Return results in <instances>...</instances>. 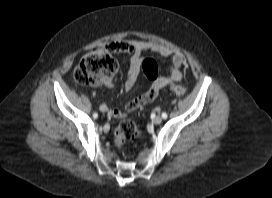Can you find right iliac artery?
Masks as SVG:
<instances>
[{
    "label": "right iliac artery",
    "mask_w": 272,
    "mask_h": 198,
    "mask_svg": "<svg viewBox=\"0 0 272 198\" xmlns=\"http://www.w3.org/2000/svg\"><path fill=\"white\" fill-rule=\"evenodd\" d=\"M93 117H94V118H97V117H98V114H97V113H94V114H93Z\"/></svg>",
    "instance_id": "1"
}]
</instances>
